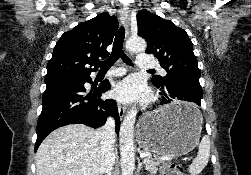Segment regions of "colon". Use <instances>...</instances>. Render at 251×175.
<instances>
[{
	"mask_svg": "<svg viewBox=\"0 0 251 175\" xmlns=\"http://www.w3.org/2000/svg\"><path fill=\"white\" fill-rule=\"evenodd\" d=\"M161 175H185L184 166L180 163H165L161 167Z\"/></svg>",
	"mask_w": 251,
	"mask_h": 175,
	"instance_id": "5ec220e1",
	"label": "colon"
}]
</instances>
